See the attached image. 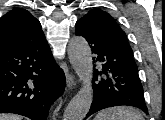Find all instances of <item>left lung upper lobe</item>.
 I'll use <instances>...</instances> for the list:
<instances>
[{
	"label": "left lung upper lobe",
	"mask_w": 165,
	"mask_h": 120,
	"mask_svg": "<svg viewBox=\"0 0 165 120\" xmlns=\"http://www.w3.org/2000/svg\"><path fill=\"white\" fill-rule=\"evenodd\" d=\"M82 19L86 20L91 27L102 36L110 39L133 53L128 44L125 32L119 27L115 19L108 13L99 9H93L82 17Z\"/></svg>",
	"instance_id": "obj_1"
}]
</instances>
